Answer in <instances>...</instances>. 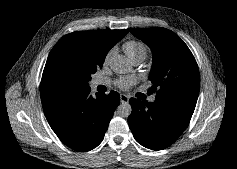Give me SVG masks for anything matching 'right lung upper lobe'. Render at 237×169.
<instances>
[{"label":"right lung upper lobe","instance_id":"cb5924a9","mask_svg":"<svg viewBox=\"0 0 237 169\" xmlns=\"http://www.w3.org/2000/svg\"><path fill=\"white\" fill-rule=\"evenodd\" d=\"M128 30L77 31L63 36L51 50L43 71L40 95L42 105L64 94L83 88L73 79L58 77L54 73L59 57L69 50H79L82 55L97 64H102L108 51Z\"/></svg>","mask_w":237,"mask_h":169}]
</instances>
